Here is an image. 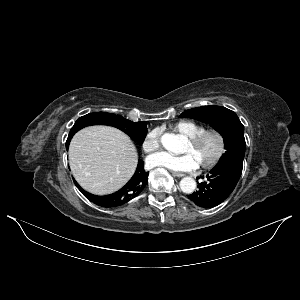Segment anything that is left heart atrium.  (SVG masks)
<instances>
[{
	"label": "left heart atrium",
	"mask_w": 300,
	"mask_h": 300,
	"mask_svg": "<svg viewBox=\"0 0 300 300\" xmlns=\"http://www.w3.org/2000/svg\"><path fill=\"white\" fill-rule=\"evenodd\" d=\"M147 162L151 167H162L176 172L192 171L199 166L191 153L176 156L166 152H160L151 155L147 159Z\"/></svg>",
	"instance_id": "left-heart-atrium-1"
}]
</instances>
